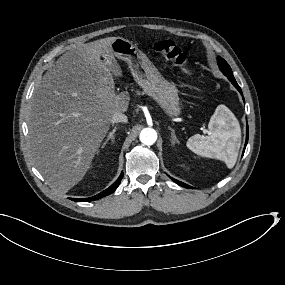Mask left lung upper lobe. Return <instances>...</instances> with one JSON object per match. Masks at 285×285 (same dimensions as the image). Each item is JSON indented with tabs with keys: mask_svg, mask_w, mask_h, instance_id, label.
<instances>
[{
	"mask_svg": "<svg viewBox=\"0 0 285 285\" xmlns=\"http://www.w3.org/2000/svg\"><path fill=\"white\" fill-rule=\"evenodd\" d=\"M218 65L220 67V70L223 72L224 75L228 77V79L234 78L232 70L230 66L227 64V62L221 58L220 56L217 57Z\"/></svg>",
	"mask_w": 285,
	"mask_h": 285,
	"instance_id": "obj_1",
	"label": "left lung upper lobe"
}]
</instances>
